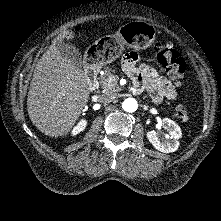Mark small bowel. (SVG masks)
<instances>
[{
  "label": "small bowel",
  "mask_w": 221,
  "mask_h": 221,
  "mask_svg": "<svg viewBox=\"0 0 221 221\" xmlns=\"http://www.w3.org/2000/svg\"><path fill=\"white\" fill-rule=\"evenodd\" d=\"M138 62L139 57L135 52L127 53L123 58L124 70L132 77L135 89L138 91L146 89L158 103L163 99L175 101L177 99L175 83L159 75L151 66Z\"/></svg>",
  "instance_id": "small-bowel-1"
}]
</instances>
